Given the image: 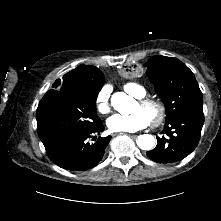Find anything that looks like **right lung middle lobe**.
I'll return each mask as SVG.
<instances>
[{
  "label": "right lung middle lobe",
  "mask_w": 221,
  "mask_h": 221,
  "mask_svg": "<svg viewBox=\"0 0 221 221\" xmlns=\"http://www.w3.org/2000/svg\"><path fill=\"white\" fill-rule=\"evenodd\" d=\"M101 86L84 91L57 94L47 92L37 111V131L45 149L50 150L77 134L94 128L101 120L96 114V99Z\"/></svg>",
  "instance_id": "dd1d6c3e"
}]
</instances>
